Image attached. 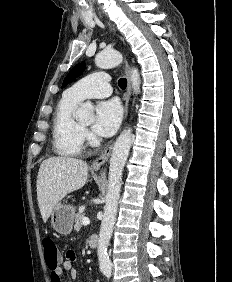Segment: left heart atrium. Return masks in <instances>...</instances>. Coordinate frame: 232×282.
<instances>
[{"label":"left heart atrium","instance_id":"left-heart-atrium-1","mask_svg":"<svg viewBox=\"0 0 232 282\" xmlns=\"http://www.w3.org/2000/svg\"><path fill=\"white\" fill-rule=\"evenodd\" d=\"M122 119V108L115 100H104L97 104L93 130L101 136H111L115 133Z\"/></svg>","mask_w":232,"mask_h":282}]
</instances>
